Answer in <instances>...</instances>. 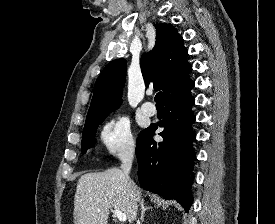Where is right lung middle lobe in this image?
<instances>
[{
    "label": "right lung middle lobe",
    "mask_w": 275,
    "mask_h": 224,
    "mask_svg": "<svg viewBox=\"0 0 275 224\" xmlns=\"http://www.w3.org/2000/svg\"><path fill=\"white\" fill-rule=\"evenodd\" d=\"M104 119L105 117L93 123H90L84 127L82 142H81L82 153H85L87 149L93 145L96 129Z\"/></svg>",
    "instance_id": "dd1d6c3e"
}]
</instances>
